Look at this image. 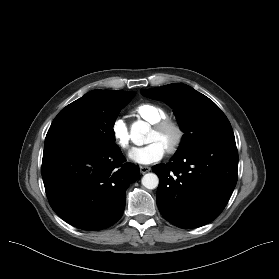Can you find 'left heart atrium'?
<instances>
[{"mask_svg":"<svg viewBox=\"0 0 279 279\" xmlns=\"http://www.w3.org/2000/svg\"><path fill=\"white\" fill-rule=\"evenodd\" d=\"M166 149L157 141L146 146L135 148L130 152V158L140 164H151L163 158Z\"/></svg>","mask_w":279,"mask_h":279,"instance_id":"obj_1","label":"left heart atrium"}]
</instances>
